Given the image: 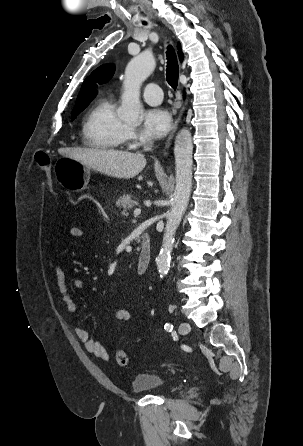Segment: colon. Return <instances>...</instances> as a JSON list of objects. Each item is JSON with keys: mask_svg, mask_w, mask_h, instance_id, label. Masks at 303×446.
<instances>
[{"mask_svg": "<svg viewBox=\"0 0 303 446\" xmlns=\"http://www.w3.org/2000/svg\"><path fill=\"white\" fill-rule=\"evenodd\" d=\"M35 160L38 166L43 170L44 175L47 180V185L51 192L55 191L53 176H52V160L50 156L45 152H37L35 154ZM116 362L123 367L128 365V357L127 354L123 350L116 351L115 354Z\"/></svg>", "mask_w": 303, "mask_h": 446, "instance_id": "colon-1", "label": "colon"}]
</instances>
